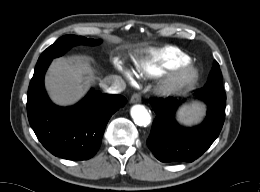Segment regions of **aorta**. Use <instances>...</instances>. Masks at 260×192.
I'll list each match as a JSON object with an SVG mask.
<instances>
[{"instance_id": "762f6f07", "label": "aorta", "mask_w": 260, "mask_h": 192, "mask_svg": "<svg viewBox=\"0 0 260 192\" xmlns=\"http://www.w3.org/2000/svg\"><path fill=\"white\" fill-rule=\"evenodd\" d=\"M130 113L135 124L139 126H147L151 122L150 112L143 105H134Z\"/></svg>"}]
</instances>
